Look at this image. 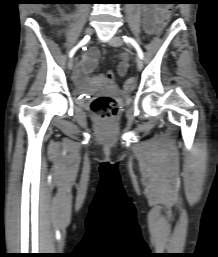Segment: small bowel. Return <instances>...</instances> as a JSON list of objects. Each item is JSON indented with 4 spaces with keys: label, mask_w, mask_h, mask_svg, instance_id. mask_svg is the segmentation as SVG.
<instances>
[{
    "label": "small bowel",
    "mask_w": 218,
    "mask_h": 257,
    "mask_svg": "<svg viewBox=\"0 0 218 257\" xmlns=\"http://www.w3.org/2000/svg\"><path fill=\"white\" fill-rule=\"evenodd\" d=\"M160 9L153 6H146L143 8L142 18L143 26L146 32L154 34L157 21L160 19ZM99 58V51L96 47H90L83 55L82 62L76 70V78L78 82L83 83L86 79H90L89 75L94 74L97 68V61ZM127 63L122 61L119 64L118 72L121 76L126 73ZM103 74V73H100ZM116 78V77H115Z\"/></svg>",
    "instance_id": "small-bowel-1"
}]
</instances>
